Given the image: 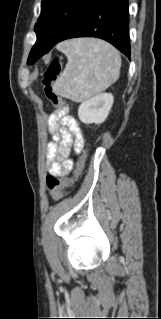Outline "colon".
Segmentation results:
<instances>
[{
	"label": "colon",
	"mask_w": 161,
	"mask_h": 319,
	"mask_svg": "<svg viewBox=\"0 0 161 319\" xmlns=\"http://www.w3.org/2000/svg\"><path fill=\"white\" fill-rule=\"evenodd\" d=\"M63 68L62 64L58 59L52 60L47 68L45 69L42 77V85L44 88V92L47 98L55 105L57 108L63 110L64 112H68L69 105L63 101L61 98L53 90V83L60 77L62 74ZM85 154L80 157L78 163V169L73 178L64 179L61 177H57L55 175H49L46 179V189L53 196L55 201H60L63 197V190L69 187L76 178L79 176L81 169L84 164Z\"/></svg>",
	"instance_id": "obj_1"
}]
</instances>
